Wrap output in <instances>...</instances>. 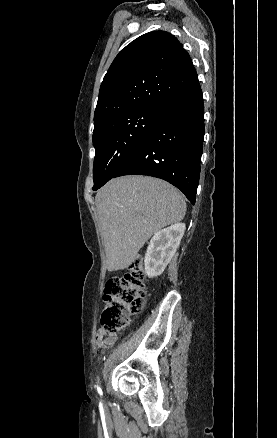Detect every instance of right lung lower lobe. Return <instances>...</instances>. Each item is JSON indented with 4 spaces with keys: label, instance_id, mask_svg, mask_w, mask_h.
<instances>
[{
    "label": "right lung lower lobe",
    "instance_id": "98d812e1",
    "mask_svg": "<svg viewBox=\"0 0 277 438\" xmlns=\"http://www.w3.org/2000/svg\"><path fill=\"white\" fill-rule=\"evenodd\" d=\"M155 66L165 71L173 68L162 63ZM203 137L204 106L198 83L163 106L144 142L113 178L132 174L161 178L179 188L195 204Z\"/></svg>",
    "mask_w": 277,
    "mask_h": 438
}]
</instances>
